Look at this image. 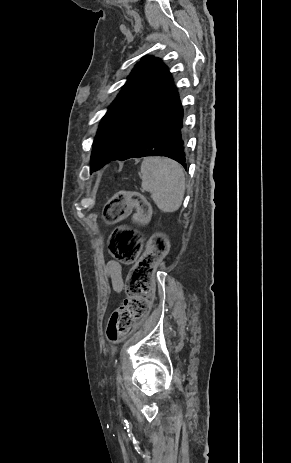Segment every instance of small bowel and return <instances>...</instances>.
<instances>
[{"label": "small bowel", "instance_id": "small-bowel-1", "mask_svg": "<svg viewBox=\"0 0 291 463\" xmlns=\"http://www.w3.org/2000/svg\"><path fill=\"white\" fill-rule=\"evenodd\" d=\"M104 274L110 281L115 292L119 293L123 290V270L120 263L116 261H109L105 266Z\"/></svg>", "mask_w": 291, "mask_h": 463}]
</instances>
